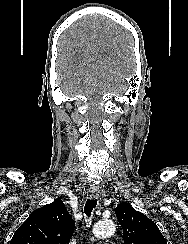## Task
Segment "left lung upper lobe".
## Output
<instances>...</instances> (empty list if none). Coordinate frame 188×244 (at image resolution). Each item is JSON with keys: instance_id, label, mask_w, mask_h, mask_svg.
I'll list each match as a JSON object with an SVG mask.
<instances>
[{"instance_id": "obj_1", "label": "left lung upper lobe", "mask_w": 188, "mask_h": 244, "mask_svg": "<svg viewBox=\"0 0 188 244\" xmlns=\"http://www.w3.org/2000/svg\"><path fill=\"white\" fill-rule=\"evenodd\" d=\"M115 214L122 225L125 244H167L157 225L129 203H120Z\"/></svg>"}]
</instances>
